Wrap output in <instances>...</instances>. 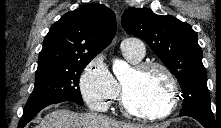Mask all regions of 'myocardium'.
Wrapping results in <instances>:
<instances>
[{"label": "myocardium", "mask_w": 221, "mask_h": 128, "mask_svg": "<svg viewBox=\"0 0 221 128\" xmlns=\"http://www.w3.org/2000/svg\"><path fill=\"white\" fill-rule=\"evenodd\" d=\"M159 70L165 77L169 85L168 105L163 111L154 113H138L130 108L127 103L126 89L123 83L121 84V93L119 105L125 116L135 120L158 121L169 117L176 109L178 102V84L172 71L162 63L146 61L134 66L133 70L137 73H144L148 70Z\"/></svg>", "instance_id": "1"}]
</instances>
